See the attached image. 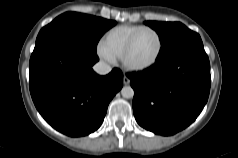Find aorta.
<instances>
[{
	"mask_svg": "<svg viewBox=\"0 0 238 158\" xmlns=\"http://www.w3.org/2000/svg\"><path fill=\"white\" fill-rule=\"evenodd\" d=\"M121 94L124 98H133L134 90L131 86H125L121 89Z\"/></svg>",
	"mask_w": 238,
	"mask_h": 158,
	"instance_id": "1",
	"label": "aorta"
}]
</instances>
